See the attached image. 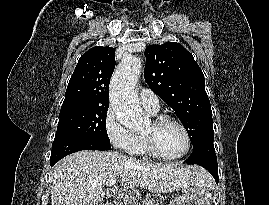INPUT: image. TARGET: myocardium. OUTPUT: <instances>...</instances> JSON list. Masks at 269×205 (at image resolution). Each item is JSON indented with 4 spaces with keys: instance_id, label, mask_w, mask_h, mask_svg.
I'll list each match as a JSON object with an SVG mask.
<instances>
[{
    "instance_id": "1",
    "label": "myocardium",
    "mask_w": 269,
    "mask_h": 205,
    "mask_svg": "<svg viewBox=\"0 0 269 205\" xmlns=\"http://www.w3.org/2000/svg\"><path fill=\"white\" fill-rule=\"evenodd\" d=\"M166 122H171L174 123L175 125H177L184 133L185 135V139H186V147L184 149V151L178 155L175 156H167L164 155L163 153H161L155 142H154V138L152 135H148V134H141V138L143 141V145L145 148V151L148 155L156 158V159H160V160H164V161H174V160H178L183 158L184 156H186L191 147H192V139H191V135L190 132L188 130V128L185 126V124L183 122H181L178 118L172 116V115H168V114H161L156 116L152 121V125L154 128L159 127L160 125H162L163 123Z\"/></svg>"
}]
</instances>
